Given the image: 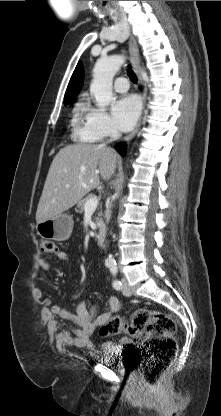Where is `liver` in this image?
I'll return each mask as SVG.
<instances>
[{
	"mask_svg": "<svg viewBox=\"0 0 221 416\" xmlns=\"http://www.w3.org/2000/svg\"><path fill=\"white\" fill-rule=\"evenodd\" d=\"M117 163V154L102 145L79 143L62 148L50 165L36 222L53 219L73 207L99 185L100 177L110 180Z\"/></svg>",
	"mask_w": 221,
	"mask_h": 416,
	"instance_id": "6515ba94",
	"label": "liver"
}]
</instances>
